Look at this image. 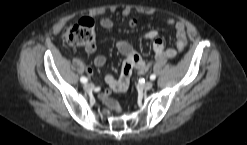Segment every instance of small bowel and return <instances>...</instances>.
Segmentation results:
<instances>
[{
	"label": "small bowel",
	"instance_id": "c3829d8e",
	"mask_svg": "<svg viewBox=\"0 0 247 145\" xmlns=\"http://www.w3.org/2000/svg\"><path fill=\"white\" fill-rule=\"evenodd\" d=\"M127 14V12H125ZM167 24L174 27L176 31V38H175V48H165L164 42L162 39L158 37V33L155 30H150L145 34V38L151 40L153 42L152 47L155 55L156 61H163L167 58H173L178 53L182 52L187 45V36H186V28L185 24L182 21H176L174 19H167ZM114 23L112 19L108 17H104L100 20V26L104 29H111ZM118 51L125 57L124 62L129 61L133 56L138 57V63L132 64L130 74L132 75L133 69H137L139 73H145L149 67L150 62L145 61L142 59L134 50L132 45L126 41H119L116 44ZM96 50V44L93 43L86 47V51L88 53H93ZM106 63V57L104 55H98L94 58L93 64L95 67H102ZM86 71L88 74L93 73V69L90 66L86 67ZM131 76L125 80L122 77V73L120 74L119 78L114 77L111 74L106 75L105 82L108 85V88L101 94V100L106 105V107L116 113L122 114L123 110L120 104L111 99L109 96L112 92H124L127 90L129 83H130Z\"/></svg>",
	"mask_w": 247,
	"mask_h": 145
}]
</instances>
